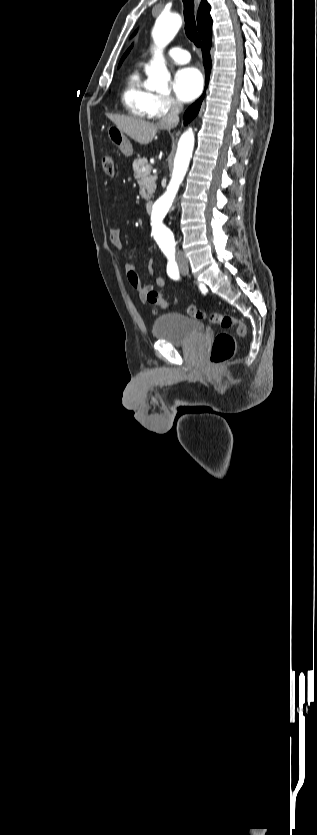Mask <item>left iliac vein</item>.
I'll return each mask as SVG.
<instances>
[{
	"label": "left iliac vein",
	"mask_w": 317,
	"mask_h": 835,
	"mask_svg": "<svg viewBox=\"0 0 317 835\" xmlns=\"http://www.w3.org/2000/svg\"><path fill=\"white\" fill-rule=\"evenodd\" d=\"M179 269L183 275H187L189 271L188 262L185 258H181L179 261Z\"/></svg>",
	"instance_id": "left-iliac-vein-1"
}]
</instances>
